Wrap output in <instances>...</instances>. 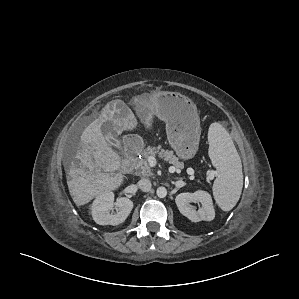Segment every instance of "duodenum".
Wrapping results in <instances>:
<instances>
[{
	"label": "duodenum",
	"instance_id": "410a0bca",
	"mask_svg": "<svg viewBox=\"0 0 299 299\" xmlns=\"http://www.w3.org/2000/svg\"><path fill=\"white\" fill-rule=\"evenodd\" d=\"M138 156V148L136 147L133 140H129L126 143L125 158L121 163L122 170L126 171L130 168L131 163Z\"/></svg>",
	"mask_w": 299,
	"mask_h": 299
}]
</instances>
